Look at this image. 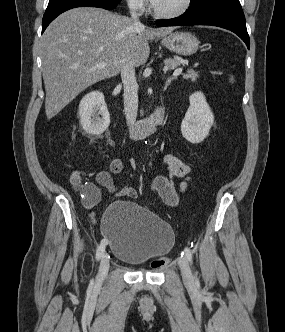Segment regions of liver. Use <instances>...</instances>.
I'll use <instances>...</instances> for the list:
<instances>
[{"instance_id": "6515ba94", "label": "liver", "mask_w": 285, "mask_h": 332, "mask_svg": "<svg viewBox=\"0 0 285 332\" xmlns=\"http://www.w3.org/2000/svg\"><path fill=\"white\" fill-rule=\"evenodd\" d=\"M173 29L135 25L132 19L101 8L62 13L42 37L47 118L56 116L87 87L118 75L126 63L143 65L150 53L148 41ZM99 63L106 66L97 68Z\"/></svg>"}]
</instances>
